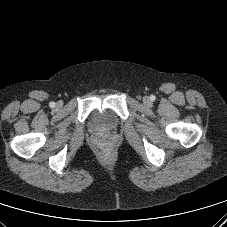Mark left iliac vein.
Listing matches in <instances>:
<instances>
[{
  "instance_id": "obj_1",
  "label": "left iliac vein",
  "mask_w": 227,
  "mask_h": 227,
  "mask_svg": "<svg viewBox=\"0 0 227 227\" xmlns=\"http://www.w3.org/2000/svg\"><path fill=\"white\" fill-rule=\"evenodd\" d=\"M143 102H144L145 105H150L151 104L150 98L147 97V96L143 98Z\"/></svg>"
}]
</instances>
